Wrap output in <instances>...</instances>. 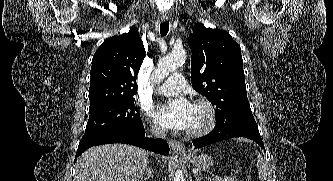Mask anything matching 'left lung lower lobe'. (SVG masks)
<instances>
[{"instance_id": "left-lung-lower-lobe-1", "label": "left lung lower lobe", "mask_w": 333, "mask_h": 181, "mask_svg": "<svg viewBox=\"0 0 333 181\" xmlns=\"http://www.w3.org/2000/svg\"><path fill=\"white\" fill-rule=\"evenodd\" d=\"M233 137H245L255 141L261 148H264V144L259 135H253L244 132L236 131V124L234 120L228 117H216V125L214 129L206 136L196 139L193 141L194 148H201L203 146L209 145L211 143L226 140Z\"/></svg>"}]
</instances>
